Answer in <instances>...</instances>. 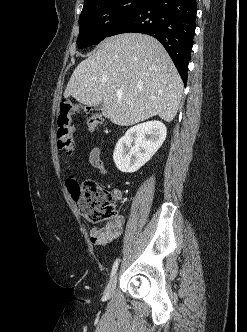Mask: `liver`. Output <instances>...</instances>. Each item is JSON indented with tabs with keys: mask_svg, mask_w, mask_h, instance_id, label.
I'll return each instance as SVG.
<instances>
[{
	"mask_svg": "<svg viewBox=\"0 0 247 332\" xmlns=\"http://www.w3.org/2000/svg\"><path fill=\"white\" fill-rule=\"evenodd\" d=\"M123 91L122 96L116 90ZM183 82L155 38L125 33L103 40L75 68L64 92L86 106L102 102V115L131 126L158 115L171 122L178 111Z\"/></svg>",
	"mask_w": 247,
	"mask_h": 332,
	"instance_id": "1",
	"label": "liver"
}]
</instances>
